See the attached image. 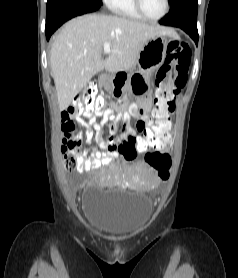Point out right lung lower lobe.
Here are the masks:
<instances>
[{"mask_svg":"<svg viewBox=\"0 0 238 278\" xmlns=\"http://www.w3.org/2000/svg\"><path fill=\"white\" fill-rule=\"evenodd\" d=\"M101 6L93 0H48L46 13V38L67 20L85 13L94 12Z\"/></svg>","mask_w":238,"mask_h":278,"instance_id":"obj_1","label":"right lung lower lobe"}]
</instances>
